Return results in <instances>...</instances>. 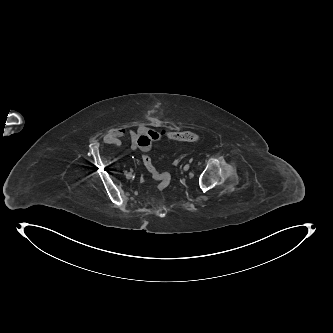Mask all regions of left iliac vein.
<instances>
[{"label": "left iliac vein", "mask_w": 333, "mask_h": 333, "mask_svg": "<svg viewBox=\"0 0 333 333\" xmlns=\"http://www.w3.org/2000/svg\"><path fill=\"white\" fill-rule=\"evenodd\" d=\"M189 168H190V165H189V164H186V165L183 167V170H184V171H187V170H189Z\"/></svg>", "instance_id": "4c4485c4"}]
</instances>
